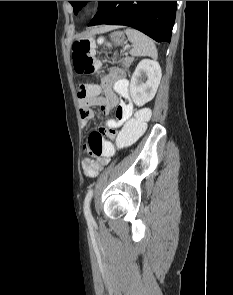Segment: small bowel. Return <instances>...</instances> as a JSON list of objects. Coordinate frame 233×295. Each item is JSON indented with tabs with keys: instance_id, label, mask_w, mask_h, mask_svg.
I'll return each mask as SVG.
<instances>
[{
	"instance_id": "1",
	"label": "small bowel",
	"mask_w": 233,
	"mask_h": 295,
	"mask_svg": "<svg viewBox=\"0 0 233 295\" xmlns=\"http://www.w3.org/2000/svg\"><path fill=\"white\" fill-rule=\"evenodd\" d=\"M80 105V116L83 124H88L95 116L93 108L98 106L104 114H110L115 110V118L104 120L100 123L99 131L107 132L116 130L128 122L134 112L129 92V82L119 69H113L103 79L99 93L78 99ZM89 152L88 145L85 146ZM108 162V157L101 156L95 159L84 158L81 162L85 176L96 177Z\"/></svg>"
}]
</instances>
